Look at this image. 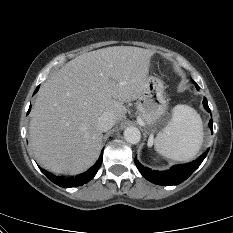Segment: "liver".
<instances>
[{
  "label": "liver",
  "instance_id": "obj_1",
  "mask_svg": "<svg viewBox=\"0 0 233 233\" xmlns=\"http://www.w3.org/2000/svg\"><path fill=\"white\" fill-rule=\"evenodd\" d=\"M154 52L114 46L82 54L54 72L40 88L31 111L29 143L36 161L57 174H79L98 159L97 122L126 114L124 102L140 97Z\"/></svg>",
  "mask_w": 233,
  "mask_h": 233
}]
</instances>
